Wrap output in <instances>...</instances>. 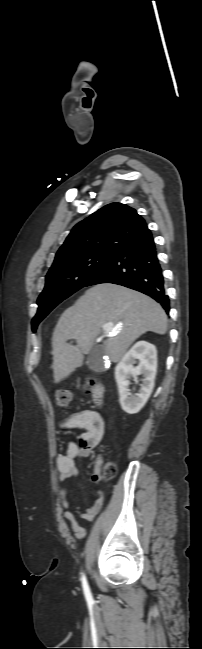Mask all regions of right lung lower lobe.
Instances as JSON below:
<instances>
[{"label": "right lung lower lobe", "mask_w": 202, "mask_h": 649, "mask_svg": "<svg viewBox=\"0 0 202 649\" xmlns=\"http://www.w3.org/2000/svg\"><path fill=\"white\" fill-rule=\"evenodd\" d=\"M100 283H114L140 291L169 312V298L151 232L118 251L84 287Z\"/></svg>", "instance_id": "1"}]
</instances>
